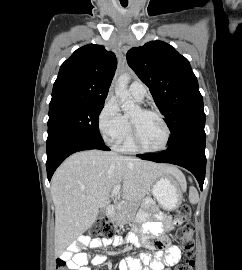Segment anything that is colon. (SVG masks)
Wrapping results in <instances>:
<instances>
[{"label":"colon","mask_w":242,"mask_h":270,"mask_svg":"<svg viewBox=\"0 0 242 270\" xmlns=\"http://www.w3.org/2000/svg\"><path fill=\"white\" fill-rule=\"evenodd\" d=\"M190 214V206L186 204L178 207L174 212V218L180 223V226L175 232V236L185 251L186 260L176 265L173 270H194V231L191 224L185 223L190 217ZM115 231V225L109 219L103 218L86 233L85 238H111ZM56 270H66L62 261H57Z\"/></svg>","instance_id":"colon-1"}]
</instances>
